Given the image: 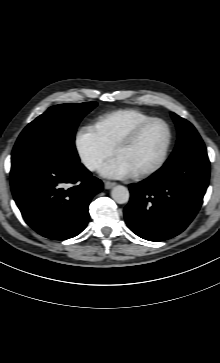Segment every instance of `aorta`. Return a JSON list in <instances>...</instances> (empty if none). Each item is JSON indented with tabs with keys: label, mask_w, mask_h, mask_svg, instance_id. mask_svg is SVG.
Instances as JSON below:
<instances>
[{
	"label": "aorta",
	"mask_w": 220,
	"mask_h": 363,
	"mask_svg": "<svg viewBox=\"0 0 220 363\" xmlns=\"http://www.w3.org/2000/svg\"><path fill=\"white\" fill-rule=\"evenodd\" d=\"M111 196L118 204H124L129 201L130 193L125 186L117 185L112 189Z\"/></svg>",
	"instance_id": "1"
}]
</instances>
